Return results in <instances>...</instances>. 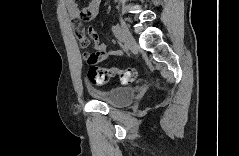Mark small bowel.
Masks as SVG:
<instances>
[{
    "label": "small bowel",
    "mask_w": 239,
    "mask_h": 156,
    "mask_svg": "<svg viewBox=\"0 0 239 156\" xmlns=\"http://www.w3.org/2000/svg\"><path fill=\"white\" fill-rule=\"evenodd\" d=\"M66 8L68 12L73 16L72 25L74 33L79 41L81 48L86 49L90 44V39L94 42L97 49L96 52L85 53V59L88 64L96 65L100 62L105 61L109 54L114 56H119L122 54L120 50H114L109 52L108 47L105 43L100 42L99 34L93 26H90L87 30L89 38L86 36V33L82 27L81 20L79 19L80 10L78 9L74 1L68 0L65 1ZM101 6L100 0H91L83 9L88 14L87 20H94L99 15ZM74 22L77 24H74Z\"/></svg>",
    "instance_id": "c3829d8e"
}]
</instances>
